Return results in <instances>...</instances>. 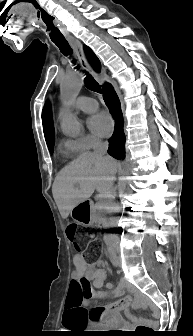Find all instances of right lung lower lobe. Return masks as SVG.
Segmentation results:
<instances>
[{
  "mask_svg": "<svg viewBox=\"0 0 193 336\" xmlns=\"http://www.w3.org/2000/svg\"><path fill=\"white\" fill-rule=\"evenodd\" d=\"M104 89V101L108 106L113 118L115 119V130L112 137L109 140L108 153L119 160L125 158V134L123 131V115L121 111V105L119 98L113 88L109 84L103 86Z\"/></svg>",
  "mask_w": 193,
  "mask_h": 336,
  "instance_id": "98d812e1",
  "label": "right lung lower lobe"
}]
</instances>
